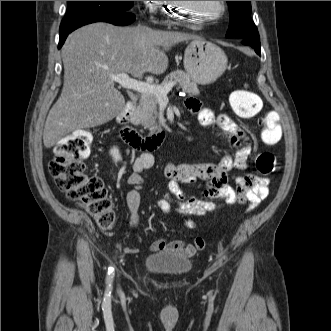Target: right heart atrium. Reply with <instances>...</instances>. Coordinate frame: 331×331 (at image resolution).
Instances as JSON below:
<instances>
[{
	"mask_svg": "<svg viewBox=\"0 0 331 331\" xmlns=\"http://www.w3.org/2000/svg\"><path fill=\"white\" fill-rule=\"evenodd\" d=\"M143 8L139 10L140 16H145L146 19H153L157 12L158 5L161 1H137Z\"/></svg>",
	"mask_w": 331,
	"mask_h": 331,
	"instance_id": "obj_1",
	"label": "right heart atrium"
}]
</instances>
